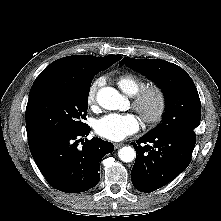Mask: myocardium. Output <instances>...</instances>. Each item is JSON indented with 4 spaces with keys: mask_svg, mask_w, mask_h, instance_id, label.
I'll return each instance as SVG.
<instances>
[{
    "mask_svg": "<svg viewBox=\"0 0 221 221\" xmlns=\"http://www.w3.org/2000/svg\"><path fill=\"white\" fill-rule=\"evenodd\" d=\"M150 98L155 100L152 109L148 108ZM167 95L165 90L158 84H149L142 87L133 96V107L147 124H156L162 120L167 110Z\"/></svg>",
    "mask_w": 221,
    "mask_h": 221,
    "instance_id": "obj_1",
    "label": "myocardium"
}]
</instances>
